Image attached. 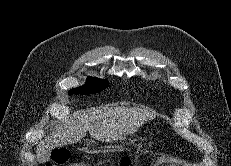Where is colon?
<instances>
[{
  "mask_svg": "<svg viewBox=\"0 0 231 166\" xmlns=\"http://www.w3.org/2000/svg\"><path fill=\"white\" fill-rule=\"evenodd\" d=\"M70 154L66 149H58L52 153V160L56 164L62 165L69 160ZM120 166H128L129 158L124 157L119 162Z\"/></svg>",
  "mask_w": 231,
  "mask_h": 166,
  "instance_id": "5ec220e1",
  "label": "colon"
}]
</instances>
